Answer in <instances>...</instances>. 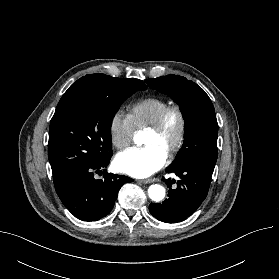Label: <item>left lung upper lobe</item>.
Listing matches in <instances>:
<instances>
[{"label":"left lung upper lobe","mask_w":279,"mask_h":279,"mask_svg":"<svg viewBox=\"0 0 279 279\" xmlns=\"http://www.w3.org/2000/svg\"><path fill=\"white\" fill-rule=\"evenodd\" d=\"M145 82L174 99L184 116V144L169 167L193 166L212 174L217 160L218 124L209 96L196 83L178 75Z\"/></svg>","instance_id":"left-lung-upper-lobe-1"}]
</instances>
